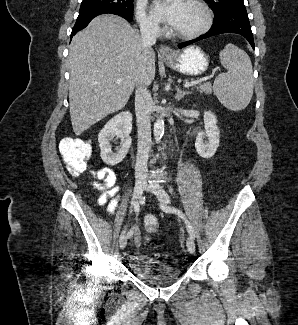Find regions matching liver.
Here are the masks:
<instances>
[{
  "label": "liver",
  "instance_id": "liver-1",
  "mask_svg": "<svg viewBox=\"0 0 298 325\" xmlns=\"http://www.w3.org/2000/svg\"><path fill=\"white\" fill-rule=\"evenodd\" d=\"M68 64L69 112L76 136L121 110L135 86H149L156 74L153 48L145 50L139 32L117 14H100L73 36Z\"/></svg>",
  "mask_w": 298,
  "mask_h": 325
}]
</instances>
